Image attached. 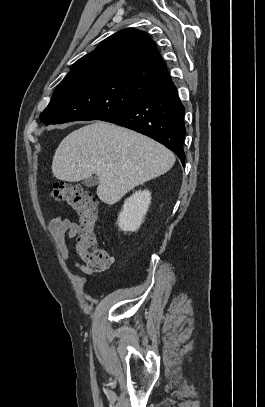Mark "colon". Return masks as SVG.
<instances>
[{
    "mask_svg": "<svg viewBox=\"0 0 265 407\" xmlns=\"http://www.w3.org/2000/svg\"><path fill=\"white\" fill-rule=\"evenodd\" d=\"M50 196L53 200L64 202L79 216L81 231L76 239V254L79 260L91 271H102L110 267L112 257L98 247L95 226L98 222V204L93 195L82 187L57 182Z\"/></svg>",
    "mask_w": 265,
    "mask_h": 407,
    "instance_id": "5ec220e1",
    "label": "colon"
}]
</instances>
